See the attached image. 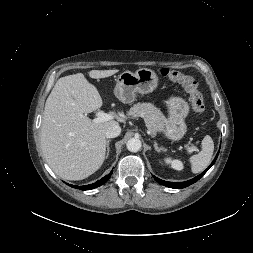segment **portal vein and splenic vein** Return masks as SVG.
<instances>
[{"label":"portal vein and splenic vein","mask_w":253,"mask_h":253,"mask_svg":"<svg viewBox=\"0 0 253 253\" xmlns=\"http://www.w3.org/2000/svg\"><path fill=\"white\" fill-rule=\"evenodd\" d=\"M112 119H113V115L107 114L104 111H99L97 112L96 118L93 121L96 123H99V122H105Z\"/></svg>","instance_id":"18ae733b"}]
</instances>
